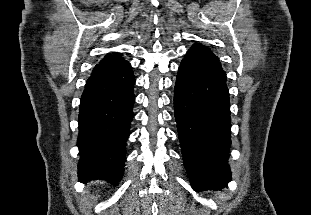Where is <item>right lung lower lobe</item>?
I'll return each mask as SVG.
<instances>
[{
	"instance_id": "1",
	"label": "right lung lower lobe",
	"mask_w": 311,
	"mask_h": 215,
	"mask_svg": "<svg viewBox=\"0 0 311 215\" xmlns=\"http://www.w3.org/2000/svg\"><path fill=\"white\" fill-rule=\"evenodd\" d=\"M134 84L126 60L100 62L94 67L79 107L80 181L103 179L116 185L122 179Z\"/></svg>"
}]
</instances>
